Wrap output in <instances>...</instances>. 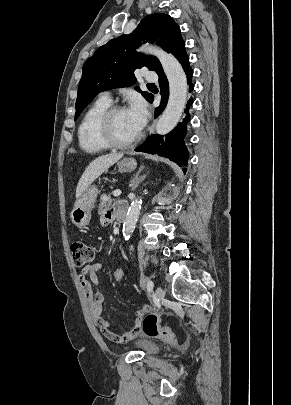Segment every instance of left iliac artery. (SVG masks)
Returning a JSON list of instances; mask_svg holds the SVG:
<instances>
[{"label":"left iliac artery","instance_id":"1","mask_svg":"<svg viewBox=\"0 0 291 405\" xmlns=\"http://www.w3.org/2000/svg\"><path fill=\"white\" fill-rule=\"evenodd\" d=\"M153 287H154V283H153L151 280H148V281H147V291H148L149 293L152 292Z\"/></svg>","mask_w":291,"mask_h":405}]
</instances>
